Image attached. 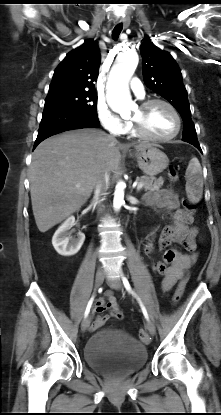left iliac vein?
<instances>
[{"instance_id": "1", "label": "left iliac vein", "mask_w": 221, "mask_h": 415, "mask_svg": "<svg viewBox=\"0 0 221 415\" xmlns=\"http://www.w3.org/2000/svg\"><path fill=\"white\" fill-rule=\"evenodd\" d=\"M107 283L111 288L115 290H120L122 287V283L119 278H114V279L109 278L107 279ZM146 327L151 335H154L156 333L155 325L153 324L152 321L147 320Z\"/></svg>"}]
</instances>
